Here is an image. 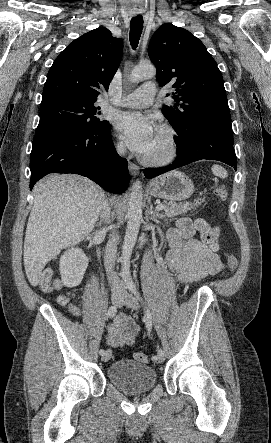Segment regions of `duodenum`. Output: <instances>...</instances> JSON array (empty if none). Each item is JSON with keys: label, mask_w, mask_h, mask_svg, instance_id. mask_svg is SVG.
I'll return each mask as SVG.
<instances>
[{"label": "duodenum", "mask_w": 271, "mask_h": 443, "mask_svg": "<svg viewBox=\"0 0 271 443\" xmlns=\"http://www.w3.org/2000/svg\"><path fill=\"white\" fill-rule=\"evenodd\" d=\"M102 256L104 258V261L106 263H109L112 257V249L111 247L106 248L103 252H102Z\"/></svg>", "instance_id": "410a0bca"}]
</instances>
